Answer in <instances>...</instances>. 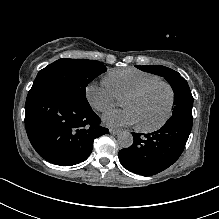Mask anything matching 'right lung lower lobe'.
<instances>
[{"instance_id":"obj_1","label":"right lung lower lobe","mask_w":219,"mask_h":219,"mask_svg":"<svg viewBox=\"0 0 219 219\" xmlns=\"http://www.w3.org/2000/svg\"><path fill=\"white\" fill-rule=\"evenodd\" d=\"M90 105L53 89L30 90L25 104L28 138L45 160L60 166L85 161L95 138L109 132Z\"/></svg>"}]
</instances>
